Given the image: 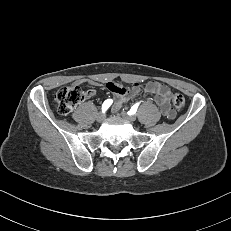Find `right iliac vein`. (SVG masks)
<instances>
[{
  "label": "right iliac vein",
  "instance_id": "63e3f726",
  "mask_svg": "<svg viewBox=\"0 0 231 231\" xmlns=\"http://www.w3.org/2000/svg\"><path fill=\"white\" fill-rule=\"evenodd\" d=\"M96 119L98 122H102L105 119V115L103 113H99Z\"/></svg>",
  "mask_w": 231,
  "mask_h": 231
}]
</instances>
